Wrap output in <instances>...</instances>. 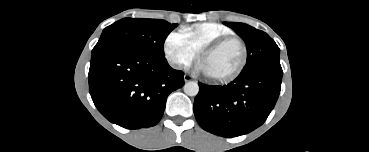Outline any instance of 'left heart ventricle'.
<instances>
[{"instance_id": "b2bd125f", "label": "left heart ventricle", "mask_w": 369, "mask_h": 152, "mask_svg": "<svg viewBox=\"0 0 369 152\" xmlns=\"http://www.w3.org/2000/svg\"><path fill=\"white\" fill-rule=\"evenodd\" d=\"M242 58V50L240 45L231 41L220 47L219 49L206 54L202 60L204 72L208 76L219 77L234 71Z\"/></svg>"}]
</instances>
